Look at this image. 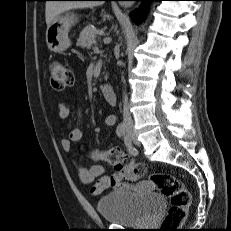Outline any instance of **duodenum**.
Returning a JSON list of instances; mask_svg holds the SVG:
<instances>
[{"label":"duodenum","mask_w":231,"mask_h":231,"mask_svg":"<svg viewBox=\"0 0 231 231\" xmlns=\"http://www.w3.org/2000/svg\"><path fill=\"white\" fill-rule=\"evenodd\" d=\"M101 90L105 100L110 105L115 106L117 104V94L114 88L109 85H103Z\"/></svg>","instance_id":"1"}]
</instances>
